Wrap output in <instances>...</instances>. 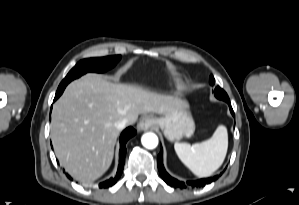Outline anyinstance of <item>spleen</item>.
<instances>
[{
  "instance_id": "1",
  "label": "spleen",
  "mask_w": 299,
  "mask_h": 205,
  "mask_svg": "<svg viewBox=\"0 0 299 205\" xmlns=\"http://www.w3.org/2000/svg\"><path fill=\"white\" fill-rule=\"evenodd\" d=\"M174 149L182 161L195 175L208 177L224 162L228 149V134L225 126L220 125L213 136L193 145L175 143Z\"/></svg>"
}]
</instances>
